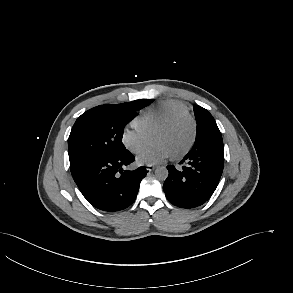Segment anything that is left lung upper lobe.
<instances>
[{
    "instance_id": "5c2ea615",
    "label": "left lung upper lobe",
    "mask_w": 293,
    "mask_h": 293,
    "mask_svg": "<svg viewBox=\"0 0 293 293\" xmlns=\"http://www.w3.org/2000/svg\"><path fill=\"white\" fill-rule=\"evenodd\" d=\"M194 114L197 122L195 144L214 142L223 145L222 136L212 115L203 107L195 106Z\"/></svg>"
}]
</instances>
